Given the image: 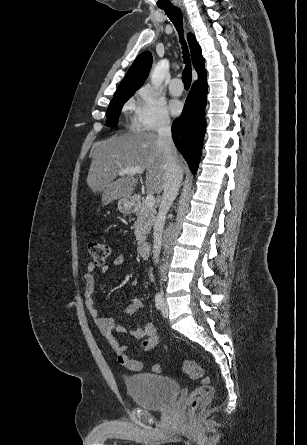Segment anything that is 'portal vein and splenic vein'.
Wrapping results in <instances>:
<instances>
[{
  "instance_id": "obj_1",
  "label": "portal vein and splenic vein",
  "mask_w": 307,
  "mask_h": 445,
  "mask_svg": "<svg viewBox=\"0 0 307 445\" xmlns=\"http://www.w3.org/2000/svg\"><path fill=\"white\" fill-rule=\"evenodd\" d=\"M129 172H133V174H142L144 172L143 168H140V166H130V168H124V170H120L118 172L119 176H125V174H129ZM147 206H154L156 202V198L154 194H147L146 200H145Z\"/></svg>"
}]
</instances>
